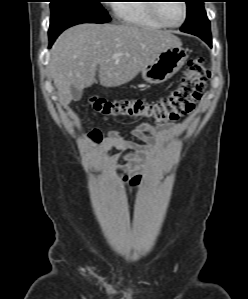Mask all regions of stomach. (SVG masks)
Wrapping results in <instances>:
<instances>
[{
  "label": "stomach",
  "mask_w": 248,
  "mask_h": 299,
  "mask_svg": "<svg viewBox=\"0 0 248 299\" xmlns=\"http://www.w3.org/2000/svg\"><path fill=\"white\" fill-rule=\"evenodd\" d=\"M187 50L173 46L159 53L142 71V79L150 84H160L171 78L185 64Z\"/></svg>",
  "instance_id": "obj_1"
}]
</instances>
